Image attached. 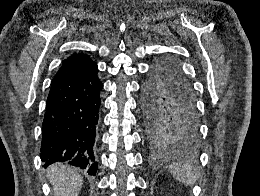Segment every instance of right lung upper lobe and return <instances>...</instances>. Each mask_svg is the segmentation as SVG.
Returning a JSON list of instances; mask_svg holds the SVG:
<instances>
[{
	"label": "right lung upper lobe",
	"instance_id": "right-lung-upper-lobe-1",
	"mask_svg": "<svg viewBox=\"0 0 260 196\" xmlns=\"http://www.w3.org/2000/svg\"><path fill=\"white\" fill-rule=\"evenodd\" d=\"M97 69V64L84 54H74L64 60L51 84L62 80L85 76Z\"/></svg>",
	"mask_w": 260,
	"mask_h": 196
}]
</instances>
